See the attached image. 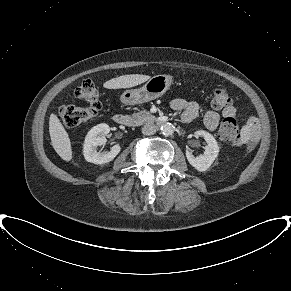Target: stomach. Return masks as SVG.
Returning <instances> with one entry per match:
<instances>
[{"instance_id":"obj_1","label":"stomach","mask_w":291,"mask_h":291,"mask_svg":"<svg viewBox=\"0 0 291 291\" xmlns=\"http://www.w3.org/2000/svg\"><path fill=\"white\" fill-rule=\"evenodd\" d=\"M172 82L173 78L170 75H156L142 87L124 91L120 100L125 105L141 104L154 100L165 94Z\"/></svg>"}]
</instances>
